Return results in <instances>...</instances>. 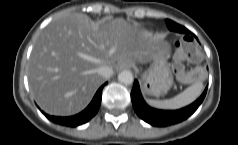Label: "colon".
<instances>
[{
  "mask_svg": "<svg viewBox=\"0 0 238 145\" xmlns=\"http://www.w3.org/2000/svg\"><path fill=\"white\" fill-rule=\"evenodd\" d=\"M202 58L200 48L192 38H186L176 44V53L173 62V72L176 77L184 83H194L201 80L204 76V71L200 68H195L186 71L184 62L198 63Z\"/></svg>",
  "mask_w": 238,
  "mask_h": 145,
  "instance_id": "1",
  "label": "colon"
}]
</instances>
